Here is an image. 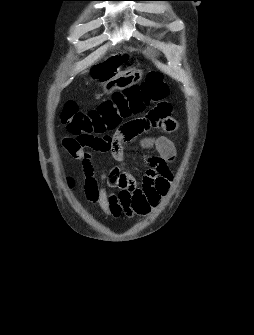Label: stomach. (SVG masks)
I'll return each instance as SVG.
<instances>
[{
	"label": "stomach",
	"instance_id": "stomach-1",
	"mask_svg": "<svg viewBox=\"0 0 254 335\" xmlns=\"http://www.w3.org/2000/svg\"><path fill=\"white\" fill-rule=\"evenodd\" d=\"M126 58L124 55L117 56L93 67L91 74L93 78L104 82L105 93L110 94L115 89H122L142 79V71L137 69L116 74L118 66L125 62Z\"/></svg>",
	"mask_w": 254,
	"mask_h": 335
}]
</instances>
